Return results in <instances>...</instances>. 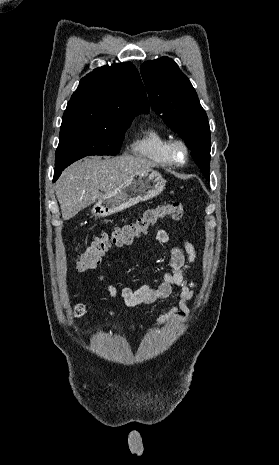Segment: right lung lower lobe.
Segmentation results:
<instances>
[{
  "mask_svg": "<svg viewBox=\"0 0 279 465\" xmlns=\"http://www.w3.org/2000/svg\"><path fill=\"white\" fill-rule=\"evenodd\" d=\"M62 170H64V168H55L54 169V179H53V181H55L60 176Z\"/></svg>",
  "mask_w": 279,
  "mask_h": 465,
  "instance_id": "1",
  "label": "right lung lower lobe"
}]
</instances>
